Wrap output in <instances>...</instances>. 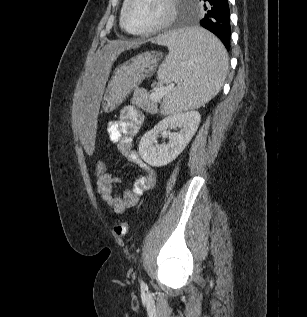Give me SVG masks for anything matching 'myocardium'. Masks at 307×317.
Here are the masks:
<instances>
[{"label":"myocardium","mask_w":307,"mask_h":317,"mask_svg":"<svg viewBox=\"0 0 307 317\" xmlns=\"http://www.w3.org/2000/svg\"><path fill=\"white\" fill-rule=\"evenodd\" d=\"M134 2V0H127L126 4L124 5V7L122 8L121 11V26L123 27V29L131 34V35H135V36H146V35H152L155 34L161 30H163L164 28H166L168 25H170L176 16V6H175V0H166V3L168 5L169 11L167 13V16L158 24L154 25L153 27L146 29V30H142V31H132L129 29V27L127 26V22H126V14L127 11L130 7V5Z\"/></svg>","instance_id":"obj_1"}]
</instances>
